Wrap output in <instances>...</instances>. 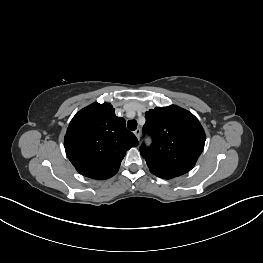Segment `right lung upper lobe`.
<instances>
[{
    "mask_svg": "<svg viewBox=\"0 0 263 263\" xmlns=\"http://www.w3.org/2000/svg\"><path fill=\"white\" fill-rule=\"evenodd\" d=\"M137 145L125 119L117 117L109 103H93L79 111L64 138L66 154L76 170L98 180L114 176L126 151Z\"/></svg>",
    "mask_w": 263,
    "mask_h": 263,
    "instance_id": "right-lung-upper-lobe-1",
    "label": "right lung upper lobe"
}]
</instances>
